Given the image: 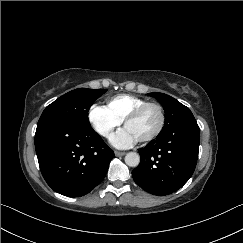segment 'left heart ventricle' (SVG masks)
Segmentation results:
<instances>
[{
	"mask_svg": "<svg viewBox=\"0 0 243 243\" xmlns=\"http://www.w3.org/2000/svg\"><path fill=\"white\" fill-rule=\"evenodd\" d=\"M159 121L158 110L155 107H149L137 119L129 122L126 128L139 141L152 134L158 127Z\"/></svg>",
	"mask_w": 243,
	"mask_h": 243,
	"instance_id": "left-heart-ventricle-1",
	"label": "left heart ventricle"
}]
</instances>
